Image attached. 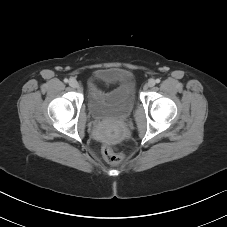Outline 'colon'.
Wrapping results in <instances>:
<instances>
[{
	"mask_svg": "<svg viewBox=\"0 0 227 227\" xmlns=\"http://www.w3.org/2000/svg\"><path fill=\"white\" fill-rule=\"evenodd\" d=\"M102 155L107 162L112 164H119L124 160V156L117 153L110 145H104L102 147Z\"/></svg>",
	"mask_w": 227,
	"mask_h": 227,
	"instance_id": "5ec220e1",
	"label": "colon"
}]
</instances>
